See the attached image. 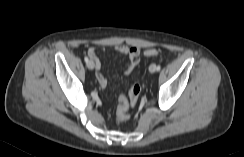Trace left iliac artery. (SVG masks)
<instances>
[{
	"instance_id": "obj_1",
	"label": "left iliac artery",
	"mask_w": 244,
	"mask_h": 157,
	"mask_svg": "<svg viewBox=\"0 0 244 157\" xmlns=\"http://www.w3.org/2000/svg\"><path fill=\"white\" fill-rule=\"evenodd\" d=\"M160 69H161L160 65L156 66V71H160Z\"/></svg>"
}]
</instances>
